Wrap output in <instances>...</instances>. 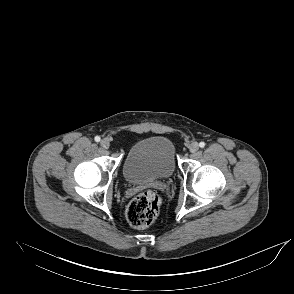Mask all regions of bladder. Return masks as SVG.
I'll list each match as a JSON object with an SVG mask.
<instances>
[{
  "label": "bladder",
  "mask_w": 294,
  "mask_h": 294,
  "mask_svg": "<svg viewBox=\"0 0 294 294\" xmlns=\"http://www.w3.org/2000/svg\"><path fill=\"white\" fill-rule=\"evenodd\" d=\"M176 168V148L164 136L137 141L128 151L123 163L127 182L140 184L170 177Z\"/></svg>",
  "instance_id": "obj_1"
}]
</instances>
